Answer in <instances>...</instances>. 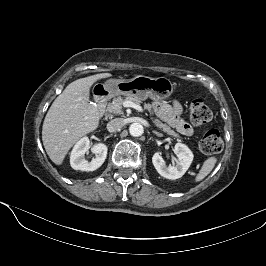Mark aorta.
<instances>
[{
  "label": "aorta",
  "mask_w": 266,
  "mask_h": 266,
  "mask_svg": "<svg viewBox=\"0 0 266 266\" xmlns=\"http://www.w3.org/2000/svg\"><path fill=\"white\" fill-rule=\"evenodd\" d=\"M129 132L132 136H141L144 132L143 126L140 123H132L129 127Z\"/></svg>",
  "instance_id": "obj_1"
}]
</instances>
